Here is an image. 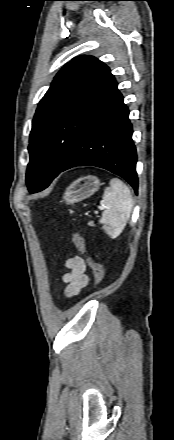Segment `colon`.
<instances>
[{"mask_svg":"<svg viewBox=\"0 0 174 440\" xmlns=\"http://www.w3.org/2000/svg\"><path fill=\"white\" fill-rule=\"evenodd\" d=\"M69 236L75 245V247L78 249L79 252L85 254L86 253V243L84 238L77 232H70ZM87 264L89 268L92 271V274L95 279V284L100 285L104 280V271L102 269V266L95 262L92 258L87 257Z\"/></svg>","mask_w":174,"mask_h":440,"instance_id":"1","label":"colon"}]
</instances>
